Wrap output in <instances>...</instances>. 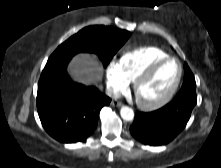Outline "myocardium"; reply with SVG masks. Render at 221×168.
I'll list each match as a JSON object with an SVG mask.
<instances>
[{
    "instance_id": "obj_1",
    "label": "myocardium",
    "mask_w": 221,
    "mask_h": 168,
    "mask_svg": "<svg viewBox=\"0 0 221 168\" xmlns=\"http://www.w3.org/2000/svg\"><path fill=\"white\" fill-rule=\"evenodd\" d=\"M169 61H175L178 64V75H177L176 81L174 82L172 87L161 98H159L155 101L145 102V101L140 100L137 97V91H138L139 87L145 81H147L160 66H162L163 64H165ZM182 75H183V66H182L181 61L176 57L167 56L165 58L159 59V60L153 62L152 64H150L133 81V86H132L133 93H134V96L136 98V101H137V104L139 105V107L144 110H154V109H158V108L162 107L163 105H165L166 103H168L171 100V98L174 96V94L176 93L177 89L179 88V85L182 80Z\"/></svg>"
}]
</instances>
